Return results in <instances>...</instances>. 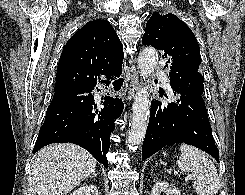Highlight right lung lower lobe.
I'll return each instance as SVG.
<instances>
[{
	"label": "right lung lower lobe",
	"mask_w": 245,
	"mask_h": 195,
	"mask_svg": "<svg viewBox=\"0 0 245 195\" xmlns=\"http://www.w3.org/2000/svg\"><path fill=\"white\" fill-rule=\"evenodd\" d=\"M111 83L119 90L123 79L117 80L102 72L90 83L54 91L33 153L51 143L70 142L88 150L107 168L110 135L124 104L112 93L97 101L94 91H101V87L107 89Z\"/></svg>",
	"instance_id": "right-lung-lower-lobe-1"
}]
</instances>
